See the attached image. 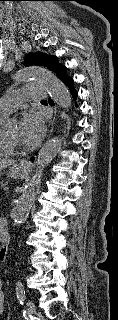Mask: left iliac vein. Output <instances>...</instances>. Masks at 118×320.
I'll list each match as a JSON object with an SVG mask.
<instances>
[{
  "label": "left iliac vein",
  "mask_w": 118,
  "mask_h": 320,
  "mask_svg": "<svg viewBox=\"0 0 118 320\" xmlns=\"http://www.w3.org/2000/svg\"><path fill=\"white\" fill-rule=\"evenodd\" d=\"M27 311L30 315H33L35 314L36 312V306H35V303L32 301V300H28L27 301Z\"/></svg>",
  "instance_id": "4c4485c4"
}]
</instances>
